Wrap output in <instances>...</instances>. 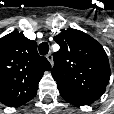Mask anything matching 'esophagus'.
I'll use <instances>...</instances> for the list:
<instances>
[{
  "mask_svg": "<svg viewBox=\"0 0 114 114\" xmlns=\"http://www.w3.org/2000/svg\"><path fill=\"white\" fill-rule=\"evenodd\" d=\"M46 58L50 62V64L53 65V56H52V54L51 53L47 54Z\"/></svg>",
  "mask_w": 114,
  "mask_h": 114,
  "instance_id": "esophagus-1",
  "label": "esophagus"
}]
</instances>
